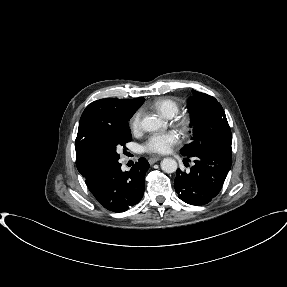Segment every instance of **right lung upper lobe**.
<instances>
[{
    "label": "right lung upper lobe",
    "instance_id": "right-lung-upper-lobe-1",
    "mask_svg": "<svg viewBox=\"0 0 287 287\" xmlns=\"http://www.w3.org/2000/svg\"><path fill=\"white\" fill-rule=\"evenodd\" d=\"M144 98L100 99L90 103L84 110L75 140L76 165L86 178L100 164L95 157V139L106 128L129 120L143 104Z\"/></svg>",
    "mask_w": 287,
    "mask_h": 287
}]
</instances>
